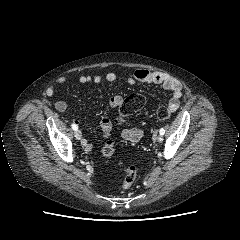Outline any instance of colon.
Instances as JSON below:
<instances>
[{
    "label": "colon",
    "mask_w": 240,
    "mask_h": 240,
    "mask_svg": "<svg viewBox=\"0 0 240 240\" xmlns=\"http://www.w3.org/2000/svg\"><path fill=\"white\" fill-rule=\"evenodd\" d=\"M145 105V97L139 93L134 92L131 93L125 100L120 108V116L118 121L122 120V117L132 114L138 110H140ZM157 117L162 120L166 121L171 117V111L166 107H159L157 109ZM102 153L106 158L113 157L115 153V143L113 140H108L103 149ZM137 176V171L134 166H128L123 168V181H122V188L129 189L132 184L134 183Z\"/></svg>",
    "instance_id": "obj_1"
}]
</instances>
